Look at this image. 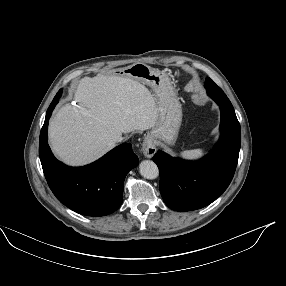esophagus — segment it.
<instances>
[{
  "instance_id": "1",
  "label": "esophagus",
  "mask_w": 286,
  "mask_h": 286,
  "mask_svg": "<svg viewBox=\"0 0 286 286\" xmlns=\"http://www.w3.org/2000/svg\"><path fill=\"white\" fill-rule=\"evenodd\" d=\"M142 153L146 158H152L156 153V147L150 137H146L142 143Z\"/></svg>"
}]
</instances>
